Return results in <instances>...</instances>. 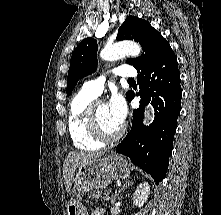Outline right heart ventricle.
I'll return each instance as SVG.
<instances>
[{"mask_svg": "<svg viewBox=\"0 0 221 215\" xmlns=\"http://www.w3.org/2000/svg\"><path fill=\"white\" fill-rule=\"evenodd\" d=\"M95 98L82 90L73 96L69 104L68 132L74 147L81 151H95L103 144L90 134L86 123V109Z\"/></svg>", "mask_w": 221, "mask_h": 215, "instance_id": "obj_1", "label": "right heart ventricle"}]
</instances>
